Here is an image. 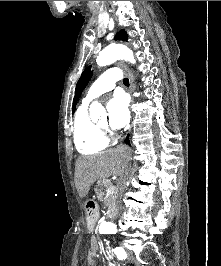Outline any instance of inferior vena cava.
I'll return each mask as SVG.
<instances>
[{"instance_id": "inferior-vena-cava-1", "label": "inferior vena cava", "mask_w": 221, "mask_h": 266, "mask_svg": "<svg viewBox=\"0 0 221 266\" xmlns=\"http://www.w3.org/2000/svg\"><path fill=\"white\" fill-rule=\"evenodd\" d=\"M129 171H130V165H129V163H128V164L126 165L125 173H124V175L120 178V181H119L120 191H123V189L126 187V182H127V179H128Z\"/></svg>"}]
</instances>
